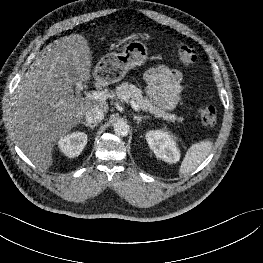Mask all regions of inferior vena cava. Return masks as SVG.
<instances>
[{"label": "inferior vena cava", "instance_id": "602c4592", "mask_svg": "<svg viewBox=\"0 0 263 263\" xmlns=\"http://www.w3.org/2000/svg\"><path fill=\"white\" fill-rule=\"evenodd\" d=\"M85 118H86L87 123L97 124L103 120L104 111L102 108L98 106H94L85 113Z\"/></svg>", "mask_w": 263, "mask_h": 263}]
</instances>
